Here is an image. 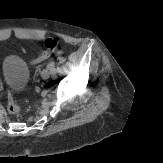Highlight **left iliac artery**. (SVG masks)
Returning <instances> with one entry per match:
<instances>
[{
  "label": "left iliac artery",
  "mask_w": 163,
  "mask_h": 163,
  "mask_svg": "<svg viewBox=\"0 0 163 163\" xmlns=\"http://www.w3.org/2000/svg\"><path fill=\"white\" fill-rule=\"evenodd\" d=\"M47 67H48V69H50V71H51L52 73H55V72H56L54 62H50V63L47 65Z\"/></svg>",
  "instance_id": "left-iliac-artery-1"
}]
</instances>
